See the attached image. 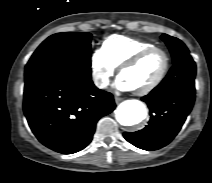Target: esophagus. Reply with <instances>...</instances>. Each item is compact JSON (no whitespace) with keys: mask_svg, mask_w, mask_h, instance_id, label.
Wrapping results in <instances>:
<instances>
[{"mask_svg":"<svg viewBox=\"0 0 212 183\" xmlns=\"http://www.w3.org/2000/svg\"><path fill=\"white\" fill-rule=\"evenodd\" d=\"M115 102L116 103H119L120 101H122V98L121 97H118V96H115Z\"/></svg>","mask_w":212,"mask_h":183,"instance_id":"obj_1","label":"esophagus"}]
</instances>
